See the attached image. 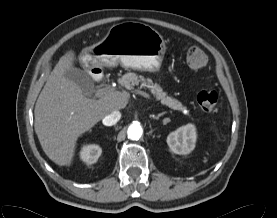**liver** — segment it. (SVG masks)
<instances>
[{"label":"liver","instance_id":"liver-1","mask_svg":"<svg viewBox=\"0 0 277 218\" xmlns=\"http://www.w3.org/2000/svg\"><path fill=\"white\" fill-rule=\"evenodd\" d=\"M74 51L63 55L49 75L34 110L35 132L45 154L55 164L70 166L77 139L106 115L123 109L128 103L125 92H110L89 99L81 88L65 78L73 68Z\"/></svg>","mask_w":277,"mask_h":218}]
</instances>
